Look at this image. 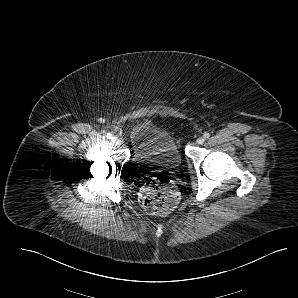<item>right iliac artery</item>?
Listing matches in <instances>:
<instances>
[{
	"instance_id": "right-iliac-artery-1",
	"label": "right iliac artery",
	"mask_w": 298,
	"mask_h": 298,
	"mask_svg": "<svg viewBox=\"0 0 298 298\" xmlns=\"http://www.w3.org/2000/svg\"><path fill=\"white\" fill-rule=\"evenodd\" d=\"M106 137H107L108 139H111V140L113 139V135H112L111 133H107V134H106Z\"/></svg>"
}]
</instances>
